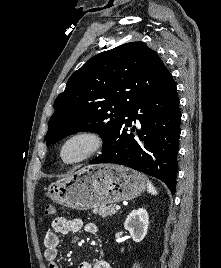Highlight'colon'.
Returning a JSON list of instances; mask_svg holds the SVG:
<instances>
[{
  "label": "colon",
  "mask_w": 221,
  "mask_h": 268,
  "mask_svg": "<svg viewBox=\"0 0 221 268\" xmlns=\"http://www.w3.org/2000/svg\"><path fill=\"white\" fill-rule=\"evenodd\" d=\"M56 213H57V210H56V208L53 205H47L45 207V214L47 216H55Z\"/></svg>",
  "instance_id": "obj_1"
}]
</instances>
